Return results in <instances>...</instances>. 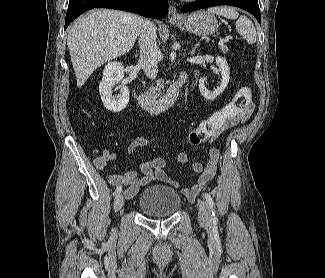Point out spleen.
Returning <instances> with one entry per match:
<instances>
[{
	"instance_id": "3e777b00",
	"label": "spleen",
	"mask_w": 325,
	"mask_h": 278,
	"mask_svg": "<svg viewBox=\"0 0 325 278\" xmlns=\"http://www.w3.org/2000/svg\"><path fill=\"white\" fill-rule=\"evenodd\" d=\"M208 12L221 15L227 19L237 20L236 29L249 44H254L257 40L255 27L250 19L246 16H239V13L232 7H211Z\"/></svg>"
}]
</instances>
